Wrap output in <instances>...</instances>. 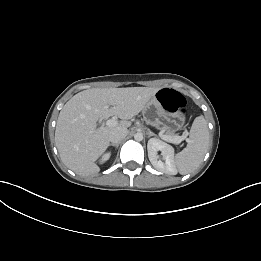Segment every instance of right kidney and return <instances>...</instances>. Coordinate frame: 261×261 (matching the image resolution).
<instances>
[{"mask_svg": "<svg viewBox=\"0 0 261 261\" xmlns=\"http://www.w3.org/2000/svg\"><path fill=\"white\" fill-rule=\"evenodd\" d=\"M110 156H111V153H110V152H109V153H106L105 155H103V157H102V159H101V162H102V163H103V162H106L107 160H109Z\"/></svg>", "mask_w": 261, "mask_h": 261, "instance_id": "obj_1", "label": "right kidney"}]
</instances>
